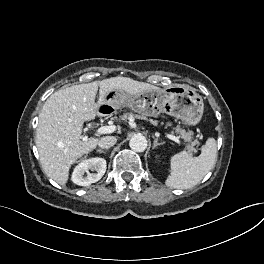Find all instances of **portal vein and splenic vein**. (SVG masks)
Returning <instances> with one entry per match:
<instances>
[{
  "label": "portal vein and splenic vein",
  "mask_w": 264,
  "mask_h": 264,
  "mask_svg": "<svg viewBox=\"0 0 264 264\" xmlns=\"http://www.w3.org/2000/svg\"><path fill=\"white\" fill-rule=\"evenodd\" d=\"M116 131V126L112 125V126H102L97 130V134H108V133H113ZM166 137L173 140L174 142H176L177 144H180V140L178 137L171 135V134H166ZM88 137L84 136L83 140L87 141Z\"/></svg>",
  "instance_id": "obj_1"
}]
</instances>
